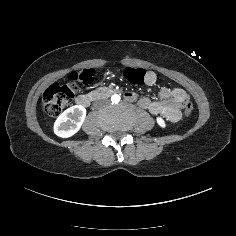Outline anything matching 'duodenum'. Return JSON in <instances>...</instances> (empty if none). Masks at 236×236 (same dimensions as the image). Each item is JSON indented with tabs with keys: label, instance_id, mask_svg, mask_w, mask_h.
I'll return each instance as SVG.
<instances>
[{
	"label": "duodenum",
	"instance_id": "1",
	"mask_svg": "<svg viewBox=\"0 0 236 236\" xmlns=\"http://www.w3.org/2000/svg\"><path fill=\"white\" fill-rule=\"evenodd\" d=\"M113 93V89L106 87L99 88L91 93L79 95L76 98V103L77 105L86 108L92 101L99 98L108 97ZM125 97L129 101L135 100V95L133 93H126ZM139 105L144 109H149L151 113L161 115L171 121H176L180 117V102L174 94L163 102H150L147 99H142L139 101Z\"/></svg>",
	"mask_w": 236,
	"mask_h": 236
}]
</instances>
